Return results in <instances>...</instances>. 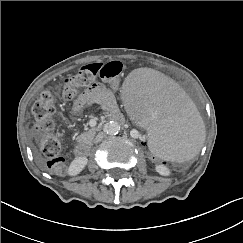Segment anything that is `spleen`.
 <instances>
[{"mask_svg": "<svg viewBox=\"0 0 243 243\" xmlns=\"http://www.w3.org/2000/svg\"><path fill=\"white\" fill-rule=\"evenodd\" d=\"M122 97L151 147L172 163H185L200 150L205 128L190 97L171 77L150 69L131 72Z\"/></svg>", "mask_w": 243, "mask_h": 243, "instance_id": "obj_1", "label": "spleen"}]
</instances>
